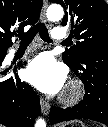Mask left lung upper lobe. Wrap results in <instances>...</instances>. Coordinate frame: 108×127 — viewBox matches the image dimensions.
I'll return each mask as SVG.
<instances>
[{
  "mask_svg": "<svg viewBox=\"0 0 108 127\" xmlns=\"http://www.w3.org/2000/svg\"><path fill=\"white\" fill-rule=\"evenodd\" d=\"M62 5L65 16L62 25H71L78 42L62 54L63 61L82 81L91 75L81 74L84 64L94 62L97 70L103 66L101 57L108 55V4L104 0H51ZM100 66V67H99Z\"/></svg>",
  "mask_w": 108,
  "mask_h": 127,
  "instance_id": "5c2ea615",
  "label": "left lung upper lobe"
}]
</instances>
